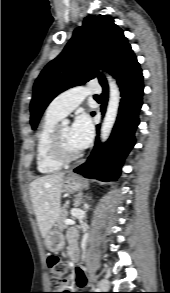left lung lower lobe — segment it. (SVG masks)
Listing matches in <instances>:
<instances>
[{
    "mask_svg": "<svg viewBox=\"0 0 170 293\" xmlns=\"http://www.w3.org/2000/svg\"><path fill=\"white\" fill-rule=\"evenodd\" d=\"M110 73L117 79L122 97L116 124L109 140L104 144L97 142L88 160L74 169V172L86 178L105 182L119 177L123 160L135 144L134 132L139 125L138 113L142 106L144 88L142 71L131 47L115 63ZM101 85L104 113L108 85L106 81ZM99 127L97 125V130Z\"/></svg>",
    "mask_w": 170,
    "mask_h": 293,
    "instance_id": "1",
    "label": "left lung lower lobe"
}]
</instances>
